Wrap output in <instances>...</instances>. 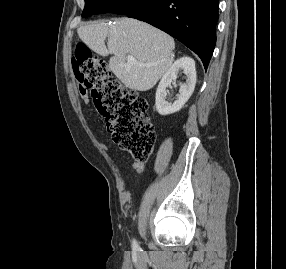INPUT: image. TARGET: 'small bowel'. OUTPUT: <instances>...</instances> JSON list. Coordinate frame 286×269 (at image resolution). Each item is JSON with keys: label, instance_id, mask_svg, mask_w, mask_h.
Returning <instances> with one entry per match:
<instances>
[{"label": "small bowel", "instance_id": "small-bowel-1", "mask_svg": "<svg viewBox=\"0 0 286 269\" xmlns=\"http://www.w3.org/2000/svg\"><path fill=\"white\" fill-rule=\"evenodd\" d=\"M82 95H84V93H82ZM130 165L138 174H141L145 169V164L143 162L133 161L130 162Z\"/></svg>", "mask_w": 286, "mask_h": 269}]
</instances>
